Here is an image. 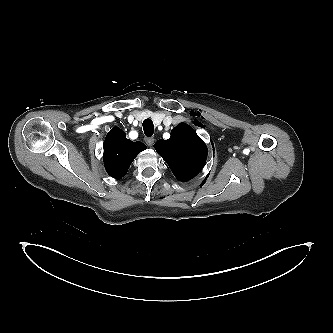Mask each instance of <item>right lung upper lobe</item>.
<instances>
[{"mask_svg":"<svg viewBox=\"0 0 333 333\" xmlns=\"http://www.w3.org/2000/svg\"><path fill=\"white\" fill-rule=\"evenodd\" d=\"M145 149L142 142H133L126 138L124 131L118 127L112 128L104 142V165L107 173L113 178H122L134 158Z\"/></svg>","mask_w":333,"mask_h":333,"instance_id":"1","label":"right lung upper lobe"}]
</instances>
